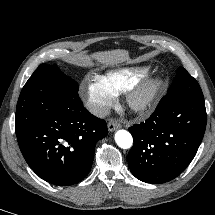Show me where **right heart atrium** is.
Instances as JSON below:
<instances>
[{
	"mask_svg": "<svg viewBox=\"0 0 215 215\" xmlns=\"http://www.w3.org/2000/svg\"><path fill=\"white\" fill-rule=\"evenodd\" d=\"M81 94L87 109L96 117L105 116L116 102V95L99 76L87 77L82 83Z\"/></svg>",
	"mask_w": 215,
	"mask_h": 215,
	"instance_id": "d8ad5b80",
	"label": "right heart atrium"
}]
</instances>
